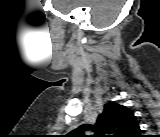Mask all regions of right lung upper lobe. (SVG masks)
<instances>
[{"label":"right lung upper lobe","mask_w":160,"mask_h":137,"mask_svg":"<svg viewBox=\"0 0 160 137\" xmlns=\"http://www.w3.org/2000/svg\"><path fill=\"white\" fill-rule=\"evenodd\" d=\"M87 129L96 134L108 132L114 137H137L141 131L132 110L117 103L106 104L95 125H81L75 131L83 135Z\"/></svg>","instance_id":"obj_1"}]
</instances>
